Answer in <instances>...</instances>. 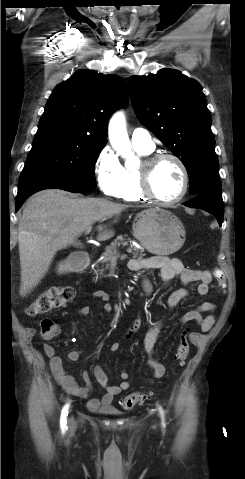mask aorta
<instances>
[{
  "label": "aorta",
  "mask_w": 245,
  "mask_h": 479,
  "mask_svg": "<svg viewBox=\"0 0 245 479\" xmlns=\"http://www.w3.org/2000/svg\"><path fill=\"white\" fill-rule=\"evenodd\" d=\"M108 135L110 143L117 154L127 160V166L134 157L132 156L131 143L126 130V121L123 112H117L112 116L109 122Z\"/></svg>",
  "instance_id": "obj_1"
}]
</instances>
